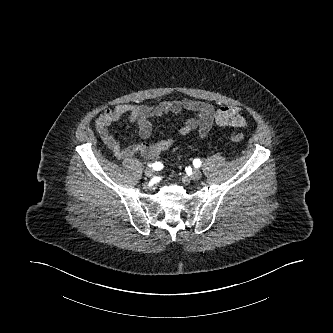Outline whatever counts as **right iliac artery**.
<instances>
[{
    "label": "right iliac artery",
    "instance_id": "right-iliac-artery-1",
    "mask_svg": "<svg viewBox=\"0 0 333 333\" xmlns=\"http://www.w3.org/2000/svg\"><path fill=\"white\" fill-rule=\"evenodd\" d=\"M149 166H152V168L156 171H159L163 168V165L160 162H155L153 164H149Z\"/></svg>",
    "mask_w": 333,
    "mask_h": 333
}]
</instances>
